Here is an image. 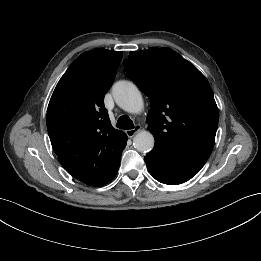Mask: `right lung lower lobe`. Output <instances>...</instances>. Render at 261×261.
<instances>
[{
    "label": "right lung lower lobe",
    "mask_w": 261,
    "mask_h": 261,
    "mask_svg": "<svg viewBox=\"0 0 261 261\" xmlns=\"http://www.w3.org/2000/svg\"><path fill=\"white\" fill-rule=\"evenodd\" d=\"M118 168H119V165L115 168V170L105 180H103L101 183H99L96 186H101V185H104V184L108 183L109 181H111L115 177V175L117 174Z\"/></svg>",
    "instance_id": "1"
}]
</instances>
